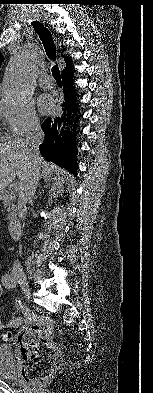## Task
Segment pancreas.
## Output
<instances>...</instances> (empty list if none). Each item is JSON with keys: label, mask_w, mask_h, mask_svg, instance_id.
<instances>
[{"label": "pancreas", "mask_w": 153, "mask_h": 393, "mask_svg": "<svg viewBox=\"0 0 153 393\" xmlns=\"http://www.w3.org/2000/svg\"><path fill=\"white\" fill-rule=\"evenodd\" d=\"M15 200L16 197L14 196L13 193H11L9 197L5 200V207H7V211L10 212L7 217L8 219L12 218V216L16 211L15 209L16 206L14 205Z\"/></svg>", "instance_id": "cf45deb5"}]
</instances>
